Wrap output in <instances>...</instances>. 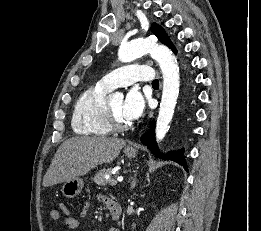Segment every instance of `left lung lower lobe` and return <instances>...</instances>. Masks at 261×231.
<instances>
[{"instance_id":"1","label":"left lung lower lobe","mask_w":261,"mask_h":231,"mask_svg":"<svg viewBox=\"0 0 261 231\" xmlns=\"http://www.w3.org/2000/svg\"><path fill=\"white\" fill-rule=\"evenodd\" d=\"M153 124L154 123H152V125H151L150 132L142 135V137H141L142 143L145 144L152 151V153L155 156L162 158V159L173 160V161L177 162L178 164L184 166L185 169H187L186 161L183 156V153H184L183 149L175 151V152H168L166 154L160 153V151L157 147L156 141H155V137H154V131H153L154 125Z\"/></svg>"}]
</instances>
